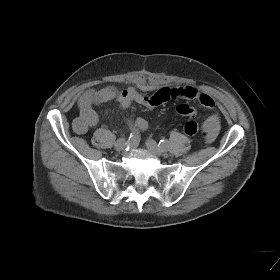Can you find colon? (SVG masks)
Masks as SVG:
<instances>
[{"label":"colon","instance_id":"1","mask_svg":"<svg viewBox=\"0 0 280 280\" xmlns=\"http://www.w3.org/2000/svg\"><path fill=\"white\" fill-rule=\"evenodd\" d=\"M181 107L184 108V106H181ZM73 126L75 129H78V130L83 128V124L78 118L74 121ZM184 131L187 135H190V136L195 135L199 132V126L194 120H190L185 124ZM203 132L205 134L204 129H203Z\"/></svg>","mask_w":280,"mask_h":280}]
</instances>
